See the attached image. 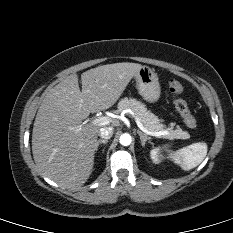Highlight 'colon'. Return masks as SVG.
<instances>
[{
	"mask_svg": "<svg viewBox=\"0 0 233 233\" xmlns=\"http://www.w3.org/2000/svg\"><path fill=\"white\" fill-rule=\"evenodd\" d=\"M165 85L170 94L174 97V107L181 116L183 122L190 128L195 127L197 124L195 116L189 110L187 103L183 99L177 97L183 90L181 83L175 78L169 77L165 80Z\"/></svg>",
	"mask_w": 233,
	"mask_h": 233,
	"instance_id": "5ec220e1",
	"label": "colon"
}]
</instances>
